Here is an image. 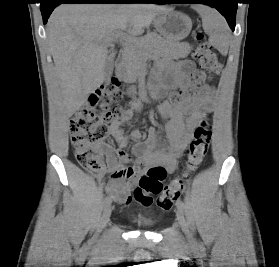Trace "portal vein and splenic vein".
<instances>
[{
  "instance_id": "1",
  "label": "portal vein and splenic vein",
  "mask_w": 279,
  "mask_h": 267,
  "mask_svg": "<svg viewBox=\"0 0 279 267\" xmlns=\"http://www.w3.org/2000/svg\"><path fill=\"white\" fill-rule=\"evenodd\" d=\"M118 38H120L122 40H125L126 43H130L131 42L130 38L126 37V35L121 30L116 31L110 37H108L106 39V42L110 43V42H112V41H114L115 39H118Z\"/></svg>"
}]
</instances>
